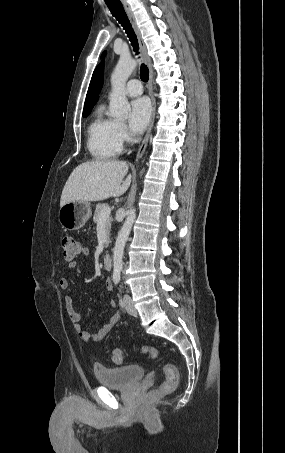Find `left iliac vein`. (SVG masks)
<instances>
[{"instance_id":"1","label":"left iliac vein","mask_w":285,"mask_h":453,"mask_svg":"<svg viewBox=\"0 0 285 453\" xmlns=\"http://www.w3.org/2000/svg\"><path fill=\"white\" fill-rule=\"evenodd\" d=\"M123 305L126 309V311L130 314V315H133V316H136L137 315V310L134 306V303L131 299V297L127 294H125L123 296Z\"/></svg>"}]
</instances>
